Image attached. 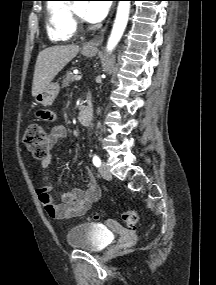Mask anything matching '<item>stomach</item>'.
<instances>
[{"mask_svg":"<svg viewBox=\"0 0 216 285\" xmlns=\"http://www.w3.org/2000/svg\"><path fill=\"white\" fill-rule=\"evenodd\" d=\"M97 49L82 50V54L86 57H92L96 53ZM60 91V85L58 83H50L40 93L35 96V101L43 106H50Z\"/></svg>","mask_w":216,"mask_h":285,"instance_id":"obj_1","label":"stomach"}]
</instances>
